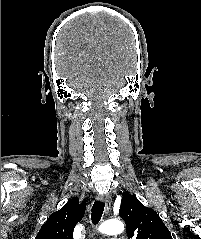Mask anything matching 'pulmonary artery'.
Returning a JSON list of instances; mask_svg holds the SVG:
<instances>
[{
  "mask_svg": "<svg viewBox=\"0 0 201 239\" xmlns=\"http://www.w3.org/2000/svg\"><path fill=\"white\" fill-rule=\"evenodd\" d=\"M111 239H123V237L115 236V237H113Z\"/></svg>",
  "mask_w": 201,
  "mask_h": 239,
  "instance_id": "obj_1",
  "label": "pulmonary artery"
}]
</instances>
